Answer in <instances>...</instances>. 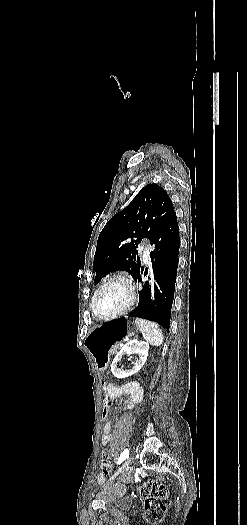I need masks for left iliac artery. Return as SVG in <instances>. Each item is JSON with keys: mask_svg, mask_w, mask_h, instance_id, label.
<instances>
[{"mask_svg": "<svg viewBox=\"0 0 247 525\" xmlns=\"http://www.w3.org/2000/svg\"><path fill=\"white\" fill-rule=\"evenodd\" d=\"M129 457V450L126 448L120 455L117 464H121L126 458Z\"/></svg>", "mask_w": 247, "mask_h": 525, "instance_id": "left-iliac-artery-1", "label": "left iliac artery"}]
</instances>
